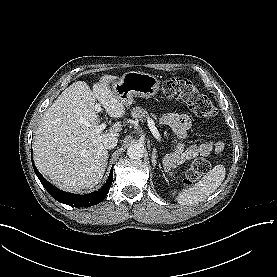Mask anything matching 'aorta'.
<instances>
[{"mask_svg": "<svg viewBox=\"0 0 277 277\" xmlns=\"http://www.w3.org/2000/svg\"><path fill=\"white\" fill-rule=\"evenodd\" d=\"M144 146L140 143L131 144L127 149V155L131 159L139 160L144 155Z\"/></svg>", "mask_w": 277, "mask_h": 277, "instance_id": "obj_1", "label": "aorta"}]
</instances>
